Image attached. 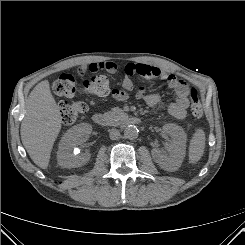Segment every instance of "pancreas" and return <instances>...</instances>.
<instances>
[{"mask_svg": "<svg viewBox=\"0 0 245 245\" xmlns=\"http://www.w3.org/2000/svg\"><path fill=\"white\" fill-rule=\"evenodd\" d=\"M124 115L125 113L118 107L112 108L109 112L105 114L107 120L110 123L118 122Z\"/></svg>", "mask_w": 245, "mask_h": 245, "instance_id": "pancreas-1", "label": "pancreas"}]
</instances>
